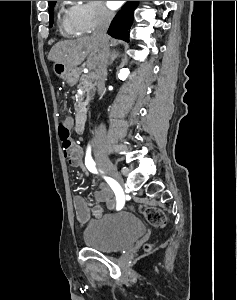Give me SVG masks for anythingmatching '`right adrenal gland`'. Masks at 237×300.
I'll list each match as a JSON object with an SVG mask.
<instances>
[{
    "instance_id": "obj_1",
    "label": "right adrenal gland",
    "mask_w": 237,
    "mask_h": 300,
    "mask_svg": "<svg viewBox=\"0 0 237 300\" xmlns=\"http://www.w3.org/2000/svg\"><path fill=\"white\" fill-rule=\"evenodd\" d=\"M117 57H119L118 51H113V53H111V55H110L109 65H112L113 61H115V59H117Z\"/></svg>"
}]
</instances>
